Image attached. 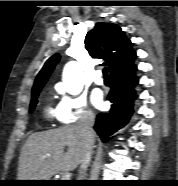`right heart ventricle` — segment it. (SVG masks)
I'll list each match as a JSON object with an SVG mask.
<instances>
[{
    "label": "right heart ventricle",
    "instance_id": "right-heart-ventricle-1",
    "mask_svg": "<svg viewBox=\"0 0 178 186\" xmlns=\"http://www.w3.org/2000/svg\"><path fill=\"white\" fill-rule=\"evenodd\" d=\"M44 114H45L46 119H48V120L58 119L57 109L55 110L51 106L46 107Z\"/></svg>",
    "mask_w": 178,
    "mask_h": 186
}]
</instances>
